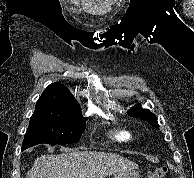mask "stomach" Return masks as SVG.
<instances>
[{"mask_svg":"<svg viewBox=\"0 0 194 178\" xmlns=\"http://www.w3.org/2000/svg\"><path fill=\"white\" fill-rule=\"evenodd\" d=\"M113 178H140V175L138 172L134 170H129V171L118 172L113 176Z\"/></svg>","mask_w":194,"mask_h":178,"instance_id":"0dacf381","label":"stomach"}]
</instances>
